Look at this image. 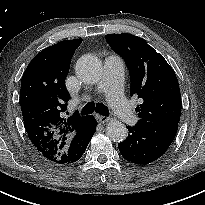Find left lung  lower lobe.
I'll return each mask as SVG.
<instances>
[{
	"instance_id": "left-lung-lower-lobe-1",
	"label": "left lung lower lobe",
	"mask_w": 205,
	"mask_h": 205,
	"mask_svg": "<svg viewBox=\"0 0 205 205\" xmlns=\"http://www.w3.org/2000/svg\"><path fill=\"white\" fill-rule=\"evenodd\" d=\"M127 128L128 137L118 144L121 155L129 162L146 165L167 151L177 133L178 123L138 121L136 126Z\"/></svg>"
}]
</instances>
